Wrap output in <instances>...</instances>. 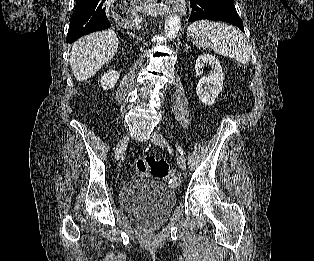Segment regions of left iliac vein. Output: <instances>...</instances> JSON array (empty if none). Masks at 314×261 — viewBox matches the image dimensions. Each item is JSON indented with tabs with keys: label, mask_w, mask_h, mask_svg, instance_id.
Returning <instances> with one entry per match:
<instances>
[{
	"label": "left iliac vein",
	"mask_w": 314,
	"mask_h": 261,
	"mask_svg": "<svg viewBox=\"0 0 314 261\" xmlns=\"http://www.w3.org/2000/svg\"><path fill=\"white\" fill-rule=\"evenodd\" d=\"M151 141L159 146H165L167 145L166 139L160 134L159 132H153ZM177 162L180 167V169L185 170L186 169V162L182 155L177 154Z\"/></svg>",
	"instance_id": "obj_1"
}]
</instances>
